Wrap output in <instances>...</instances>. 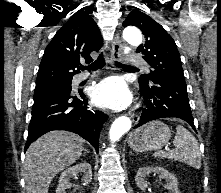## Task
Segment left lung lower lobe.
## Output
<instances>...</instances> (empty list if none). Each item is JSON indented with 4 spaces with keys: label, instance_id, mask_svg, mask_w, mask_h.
Here are the masks:
<instances>
[{
    "label": "left lung lower lobe",
    "instance_id": "1",
    "mask_svg": "<svg viewBox=\"0 0 221 193\" xmlns=\"http://www.w3.org/2000/svg\"><path fill=\"white\" fill-rule=\"evenodd\" d=\"M186 87L184 79L163 76H155L150 85L140 86L145 108L134 128L155 119L176 117L189 123L196 131Z\"/></svg>",
    "mask_w": 221,
    "mask_h": 193
}]
</instances>
